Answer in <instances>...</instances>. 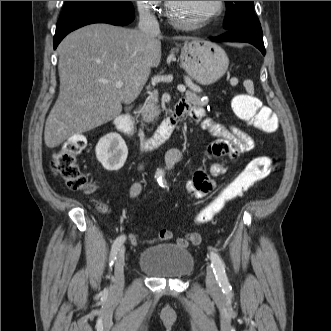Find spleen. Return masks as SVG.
<instances>
[{"label": "spleen", "mask_w": 331, "mask_h": 331, "mask_svg": "<svg viewBox=\"0 0 331 331\" xmlns=\"http://www.w3.org/2000/svg\"><path fill=\"white\" fill-rule=\"evenodd\" d=\"M246 87L249 93H253L254 91V87L253 84L251 82H246Z\"/></svg>", "instance_id": "spleen-1"}]
</instances>
